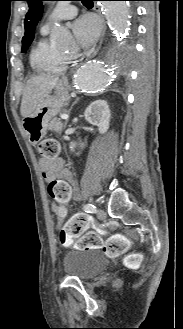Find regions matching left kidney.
Masks as SVG:
<instances>
[{
    "mask_svg": "<svg viewBox=\"0 0 183 329\" xmlns=\"http://www.w3.org/2000/svg\"><path fill=\"white\" fill-rule=\"evenodd\" d=\"M84 117L87 122L97 126L101 134L107 132L111 117L107 101L97 100L92 102L85 110Z\"/></svg>",
    "mask_w": 183,
    "mask_h": 329,
    "instance_id": "1",
    "label": "left kidney"
}]
</instances>
